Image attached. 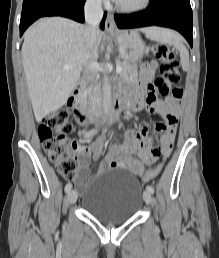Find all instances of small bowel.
<instances>
[{"label":"small bowel","mask_w":219,"mask_h":258,"mask_svg":"<svg viewBox=\"0 0 219 258\" xmlns=\"http://www.w3.org/2000/svg\"><path fill=\"white\" fill-rule=\"evenodd\" d=\"M155 61H147L141 67L140 81L137 85L126 89L120 88V97H125L128 100L132 111L141 109L143 105L142 90L143 87L154 77L157 70ZM151 99L149 102L148 100ZM146 107L152 112H158L163 117V120L155 125V129L161 132L160 145H154L153 142L146 138L147 127L142 126L137 129H125L121 136L123 143L113 145L106 158L100 164V172L110 169H124L141 177L144 170L141 158L144 163L152 168L153 161H156L158 156L162 155L167 158L173 147L175 133L181 107V98H176L173 95L167 97L164 101L158 100L152 93L148 94ZM127 116L131 112L126 113ZM104 137L97 139L89 145H83L77 142L75 144L79 158V170L73 182L80 189L87 185L89 177V163L92 159L97 161L102 152Z\"/></svg>","instance_id":"small-bowel-1"}]
</instances>
